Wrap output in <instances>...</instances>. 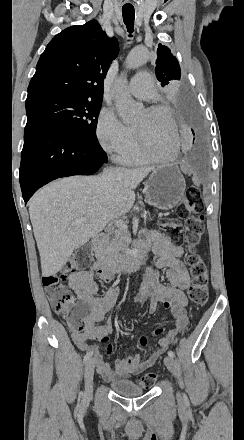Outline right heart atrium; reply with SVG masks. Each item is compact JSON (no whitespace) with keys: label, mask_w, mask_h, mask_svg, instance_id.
Here are the masks:
<instances>
[{"label":"right heart atrium","mask_w":244,"mask_h":440,"mask_svg":"<svg viewBox=\"0 0 244 440\" xmlns=\"http://www.w3.org/2000/svg\"><path fill=\"white\" fill-rule=\"evenodd\" d=\"M96 137L110 155L130 151L138 142L136 130L124 124L110 107H104L99 114Z\"/></svg>","instance_id":"obj_1"}]
</instances>
